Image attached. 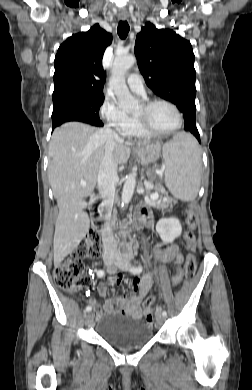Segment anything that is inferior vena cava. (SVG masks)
Returning <instances> with one entry per match:
<instances>
[{
  "label": "inferior vena cava",
  "instance_id": "obj_1",
  "mask_svg": "<svg viewBox=\"0 0 252 390\" xmlns=\"http://www.w3.org/2000/svg\"><path fill=\"white\" fill-rule=\"evenodd\" d=\"M105 136L107 139L105 146V156L99 167L97 186L99 195L102 198V206L110 213L112 210L114 197H115V184L118 180L117 176V164L113 159V151L115 146V140L118 139V135L107 128L105 130ZM102 242L104 252H116L117 242L112 232L110 225L106 226L102 230Z\"/></svg>",
  "mask_w": 252,
  "mask_h": 390
}]
</instances>
